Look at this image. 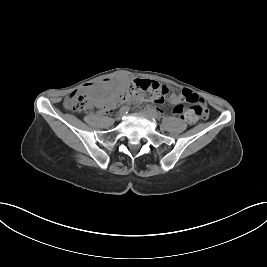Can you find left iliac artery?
Here are the masks:
<instances>
[{
    "mask_svg": "<svg viewBox=\"0 0 267 267\" xmlns=\"http://www.w3.org/2000/svg\"><path fill=\"white\" fill-rule=\"evenodd\" d=\"M147 111L155 118V119H160V115L156 112L155 109L147 107Z\"/></svg>",
    "mask_w": 267,
    "mask_h": 267,
    "instance_id": "44dca946",
    "label": "left iliac artery"
}]
</instances>
